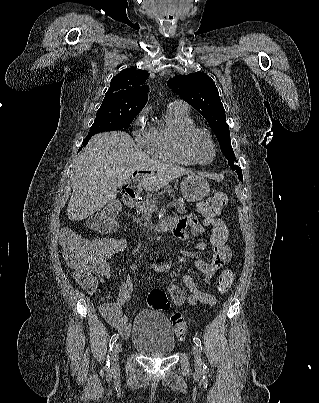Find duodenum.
Wrapping results in <instances>:
<instances>
[{"instance_id":"duodenum-1","label":"duodenum","mask_w":319,"mask_h":403,"mask_svg":"<svg viewBox=\"0 0 319 403\" xmlns=\"http://www.w3.org/2000/svg\"><path fill=\"white\" fill-rule=\"evenodd\" d=\"M122 200L125 203V205L129 208H137L141 204V200L137 197L134 191L129 190L126 191L123 196ZM175 227V221L172 218H165L163 220H160L159 222L155 223L151 231L154 233H159V232H167V231H173Z\"/></svg>"}]
</instances>
